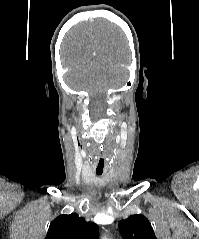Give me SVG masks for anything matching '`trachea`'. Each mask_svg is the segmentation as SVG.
I'll list each match as a JSON object with an SVG mask.
<instances>
[{
  "mask_svg": "<svg viewBox=\"0 0 199 239\" xmlns=\"http://www.w3.org/2000/svg\"><path fill=\"white\" fill-rule=\"evenodd\" d=\"M97 175H101V173H97Z\"/></svg>",
  "mask_w": 199,
  "mask_h": 239,
  "instance_id": "obj_1",
  "label": "trachea"
}]
</instances>
